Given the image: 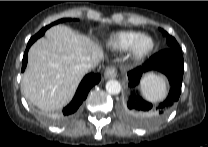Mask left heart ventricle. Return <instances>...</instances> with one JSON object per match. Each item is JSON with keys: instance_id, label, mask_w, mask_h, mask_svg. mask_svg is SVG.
Segmentation results:
<instances>
[{"instance_id": "obj_1", "label": "left heart ventricle", "mask_w": 208, "mask_h": 147, "mask_svg": "<svg viewBox=\"0 0 208 147\" xmlns=\"http://www.w3.org/2000/svg\"><path fill=\"white\" fill-rule=\"evenodd\" d=\"M151 42L148 38L144 39L140 43V50H146L149 48Z\"/></svg>"}]
</instances>
